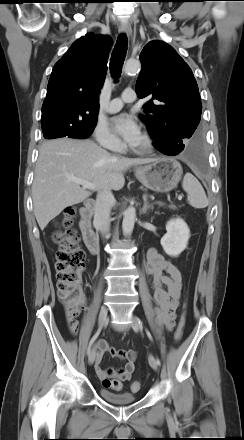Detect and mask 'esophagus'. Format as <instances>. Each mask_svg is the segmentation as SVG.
<instances>
[{
    "instance_id": "1",
    "label": "esophagus",
    "mask_w": 244,
    "mask_h": 440,
    "mask_svg": "<svg viewBox=\"0 0 244 440\" xmlns=\"http://www.w3.org/2000/svg\"><path fill=\"white\" fill-rule=\"evenodd\" d=\"M119 32L125 33L127 36L131 37L132 28L129 23H121L119 26Z\"/></svg>"
}]
</instances>
